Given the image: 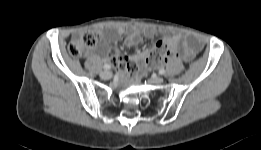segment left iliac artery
Segmentation results:
<instances>
[{"label":"left iliac artery","mask_w":261,"mask_h":150,"mask_svg":"<svg viewBox=\"0 0 261 150\" xmlns=\"http://www.w3.org/2000/svg\"><path fill=\"white\" fill-rule=\"evenodd\" d=\"M159 74L164 75V74H165V70H164L163 68H161V69L159 70Z\"/></svg>","instance_id":"obj_1"}]
</instances>
